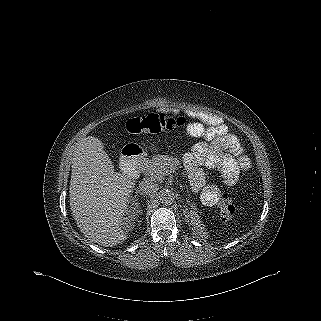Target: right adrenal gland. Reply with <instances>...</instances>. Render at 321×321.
<instances>
[{
  "label": "right adrenal gland",
  "mask_w": 321,
  "mask_h": 321,
  "mask_svg": "<svg viewBox=\"0 0 321 321\" xmlns=\"http://www.w3.org/2000/svg\"><path fill=\"white\" fill-rule=\"evenodd\" d=\"M136 193H139V194H141V192L140 191H136ZM139 195H135V198H136V200L135 201H137V197H138ZM135 205H137V203L135 202L134 203V207H132V209L133 210H135L136 208H135Z\"/></svg>",
  "instance_id": "1"
}]
</instances>
